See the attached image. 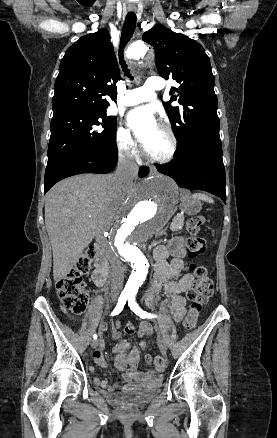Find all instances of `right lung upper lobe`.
Here are the masks:
<instances>
[{
    "label": "right lung upper lobe",
    "instance_id": "obj_1",
    "mask_svg": "<svg viewBox=\"0 0 277 438\" xmlns=\"http://www.w3.org/2000/svg\"><path fill=\"white\" fill-rule=\"evenodd\" d=\"M120 71L106 29L81 37L61 60L52 99L53 116L106 113L116 100Z\"/></svg>",
    "mask_w": 277,
    "mask_h": 438
}]
</instances>
